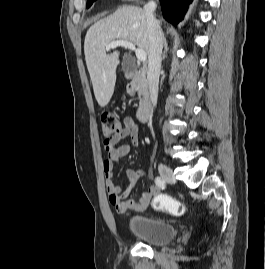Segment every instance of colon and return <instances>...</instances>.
<instances>
[{
    "instance_id": "colon-1",
    "label": "colon",
    "mask_w": 265,
    "mask_h": 269,
    "mask_svg": "<svg viewBox=\"0 0 265 269\" xmlns=\"http://www.w3.org/2000/svg\"><path fill=\"white\" fill-rule=\"evenodd\" d=\"M102 134L106 140L119 136L122 132V124L111 112H104L101 115ZM154 208L158 211L172 215H182L185 212L184 205L168 195H158L154 199Z\"/></svg>"
}]
</instances>
